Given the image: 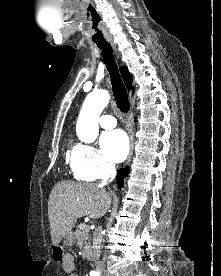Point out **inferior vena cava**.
Masks as SVG:
<instances>
[{"label": "inferior vena cava", "mask_w": 221, "mask_h": 276, "mask_svg": "<svg viewBox=\"0 0 221 276\" xmlns=\"http://www.w3.org/2000/svg\"><path fill=\"white\" fill-rule=\"evenodd\" d=\"M116 175V169L114 165H107L105 168V178L106 179H114ZM102 227H99L98 231L94 235L93 239V249L91 253V259L95 262L96 266H100V248L102 243Z\"/></svg>", "instance_id": "obj_1"}]
</instances>
